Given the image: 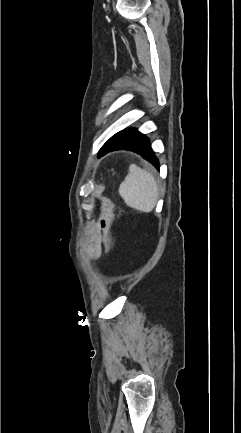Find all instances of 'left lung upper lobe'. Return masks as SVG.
Returning <instances> with one entry per match:
<instances>
[{
  "label": "left lung upper lobe",
  "mask_w": 241,
  "mask_h": 433,
  "mask_svg": "<svg viewBox=\"0 0 241 433\" xmlns=\"http://www.w3.org/2000/svg\"><path fill=\"white\" fill-rule=\"evenodd\" d=\"M144 137L143 134L138 132L136 129H125L118 133H116L114 136H112L101 148L99 155H102L110 150H113L115 148H118L120 146L128 145L131 142H134L135 140H138L140 138Z\"/></svg>",
  "instance_id": "left-lung-upper-lobe-1"
}]
</instances>
